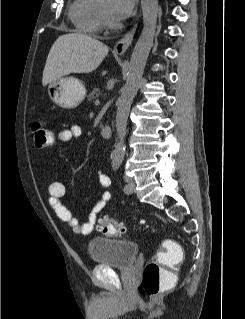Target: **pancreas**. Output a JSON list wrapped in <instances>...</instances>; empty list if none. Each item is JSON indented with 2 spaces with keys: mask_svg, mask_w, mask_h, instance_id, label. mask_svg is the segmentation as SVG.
I'll return each mask as SVG.
<instances>
[{
  "mask_svg": "<svg viewBox=\"0 0 245 319\" xmlns=\"http://www.w3.org/2000/svg\"><path fill=\"white\" fill-rule=\"evenodd\" d=\"M100 95V89L94 88L87 96L88 100L91 101L95 98H97Z\"/></svg>",
  "mask_w": 245,
  "mask_h": 319,
  "instance_id": "pancreas-1",
  "label": "pancreas"
}]
</instances>
